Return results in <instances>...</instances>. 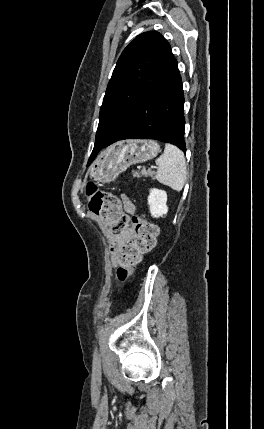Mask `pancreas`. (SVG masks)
Returning <instances> with one entry per match:
<instances>
[{"instance_id":"obj_1","label":"pancreas","mask_w":264,"mask_h":429,"mask_svg":"<svg viewBox=\"0 0 264 429\" xmlns=\"http://www.w3.org/2000/svg\"><path fill=\"white\" fill-rule=\"evenodd\" d=\"M132 173H133L134 177H141V176L147 177V176H149V177L153 178V176H154V171H152L150 169L149 170L142 169L140 172H138V171H132Z\"/></svg>"}]
</instances>
